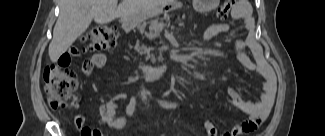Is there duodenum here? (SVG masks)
Segmentation results:
<instances>
[{
    "instance_id": "1",
    "label": "duodenum",
    "mask_w": 325,
    "mask_h": 136,
    "mask_svg": "<svg viewBox=\"0 0 325 136\" xmlns=\"http://www.w3.org/2000/svg\"><path fill=\"white\" fill-rule=\"evenodd\" d=\"M123 27L127 26V23L122 24ZM169 66L167 64H162L158 66L142 65L140 66V71L143 75L150 78H160L167 73Z\"/></svg>"
}]
</instances>
